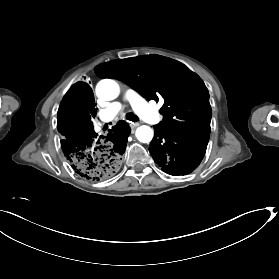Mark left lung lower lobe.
I'll return each mask as SVG.
<instances>
[{"instance_id": "1", "label": "left lung lower lobe", "mask_w": 279, "mask_h": 279, "mask_svg": "<svg viewBox=\"0 0 279 279\" xmlns=\"http://www.w3.org/2000/svg\"><path fill=\"white\" fill-rule=\"evenodd\" d=\"M149 151L155 163L170 175H186L201 162L209 140L206 134H183L154 126Z\"/></svg>"}]
</instances>
